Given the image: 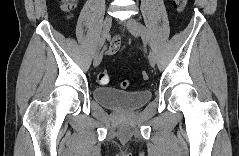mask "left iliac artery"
Returning a JSON list of instances; mask_svg holds the SVG:
<instances>
[{
  "label": "left iliac artery",
  "mask_w": 239,
  "mask_h": 156,
  "mask_svg": "<svg viewBox=\"0 0 239 156\" xmlns=\"http://www.w3.org/2000/svg\"><path fill=\"white\" fill-rule=\"evenodd\" d=\"M140 30H141L143 37L148 40L147 30L142 24H140Z\"/></svg>",
  "instance_id": "obj_1"
}]
</instances>
